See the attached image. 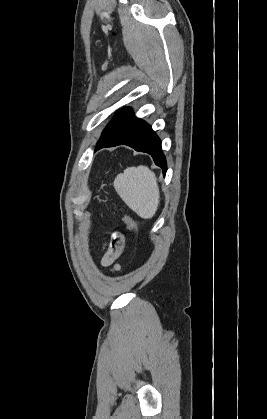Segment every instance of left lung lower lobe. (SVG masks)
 Returning <instances> with one entry per match:
<instances>
[{
  "mask_svg": "<svg viewBox=\"0 0 267 419\" xmlns=\"http://www.w3.org/2000/svg\"><path fill=\"white\" fill-rule=\"evenodd\" d=\"M118 145H127L136 151L150 154L165 175L167 163L161 150L160 139L150 125L134 116L130 108H126L114 116L113 124L101 136L95 151Z\"/></svg>",
  "mask_w": 267,
  "mask_h": 419,
  "instance_id": "obj_1",
  "label": "left lung lower lobe"
}]
</instances>
